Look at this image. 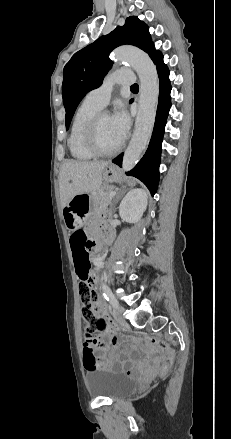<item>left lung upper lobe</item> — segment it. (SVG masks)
<instances>
[{"instance_id":"obj_1","label":"left lung upper lobe","mask_w":231,"mask_h":439,"mask_svg":"<svg viewBox=\"0 0 231 439\" xmlns=\"http://www.w3.org/2000/svg\"><path fill=\"white\" fill-rule=\"evenodd\" d=\"M124 44L144 50L152 58L159 51L151 42L148 26L137 17H128L124 26H117L106 36L76 52L63 70L62 95L66 110V129L83 97L98 88L112 67L109 53Z\"/></svg>"}]
</instances>
